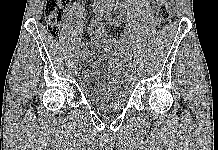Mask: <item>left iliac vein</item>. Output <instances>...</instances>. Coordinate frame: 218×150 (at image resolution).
<instances>
[{"instance_id":"obj_1","label":"left iliac vein","mask_w":218,"mask_h":150,"mask_svg":"<svg viewBox=\"0 0 218 150\" xmlns=\"http://www.w3.org/2000/svg\"><path fill=\"white\" fill-rule=\"evenodd\" d=\"M130 76H135V71H130Z\"/></svg>"}]
</instances>
